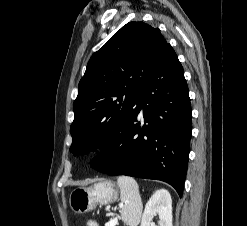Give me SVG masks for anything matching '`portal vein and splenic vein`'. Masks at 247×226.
<instances>
[{
	"label": "portal vein and splenic vein",
	"mask_w": 247,
	"mask_h": 226,
	"mask_svg": "<svg viewBox=\"0 0 247 226\" xmlns=\"http://www.w3.org/2000/svg\"><path fill=\"white\" fill-rule=\"evenodd\" d=\"M117 222H118V219H117V218H114V219L110 220V221L106 224V226H114L115 224H117Z\"/></svg>",
	"instance_id": "portal-vein-and-splenic-vein-1"
}]
</instances>
